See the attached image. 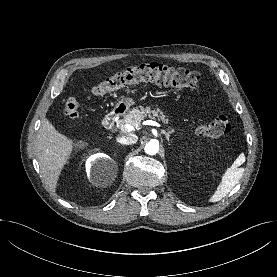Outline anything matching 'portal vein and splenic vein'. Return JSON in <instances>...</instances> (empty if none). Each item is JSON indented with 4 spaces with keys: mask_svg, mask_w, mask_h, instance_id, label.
I'll return each mask as SVG.
<instances>
[{
    "mask_svg": "<svg viewBox=\"0 0 277 277\" xmlns=\"http://www.w3.org/2000/svg\"><path fill=\"white\" fill-rule=\"evenodd\" d=\"M145 124L147 125H152V126H156V127H161V125L156 122V121H153V120H147L144 122ZM133 125H130V124H125L123 126H121V129L124 130V131H132L133 130Z\"/></svg>",
    "mask_w": 277,
    "mask_h": 277,
    "instance_id": "1",
    "label": "portal vein and splenic vein"
}]
</instances>
